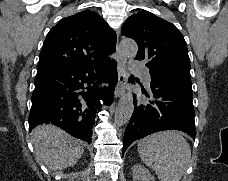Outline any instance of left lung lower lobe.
<instances>
[{
    "instance_id": "0a47b994",
    "label": "left lung lower lobe",
    "mask_w": 228,
    "mask_h": 181,
    "mask_svg": "<svg viewBox=\"0 0 228 181\" xmlns=\"http://www.w3.org/2000/svg\"><path fill=\"white\" fill-rule=\"evenodd\" d=\"M151 83L144 98L134 99V111L124 133L123 154L129 145L152 133L180 130L195 139L192 83L160 69L149 68ZM130 82L134 83L132 78ZM138 83V79L135 80Z\"/></svg>"
}]
</instances>
